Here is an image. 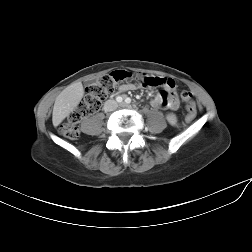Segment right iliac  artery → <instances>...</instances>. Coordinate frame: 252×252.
I'll return each instance as SVG.
<instances>
[{"instance_id": "82829eb1", "label": "right iliac artery", "mask_w": 252, "mask_h": 252, "mask_svg": "<svg viewBox=\"0 0 252 252\" xmlns=\"http://www.w3.org/2000/svg\"><path fill=\"white\" fill-rule=\"evenodd\" d=\"M116 100H117L118 103H121V102L123 101V98H122L121 96H118V97L116 98Z\"/></svg>"}]
</instances>
